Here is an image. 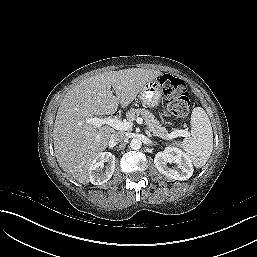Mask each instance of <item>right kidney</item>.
<instances>
[{"instance_id":"1","label":"right kidney","mask_w":257,"mask_h":257,"mask_svg":"<svg viewBox=\"0 0 257 257\" xmlns=\"http://www.w3.org/2000/svg\"><path fill=\"white\" fill-rule=\"evenodd\" d=\"M115 155L110 152L99 153L89 167V180L94 185H102L112 177L115 169ZM106 163L105 170L104 164Z\"/></svg>"}]
</instances>
